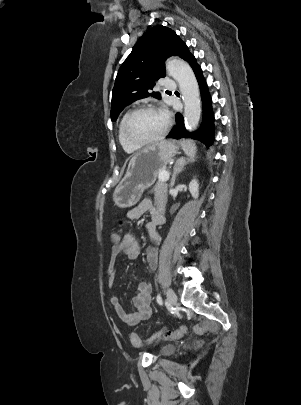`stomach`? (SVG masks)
Returning <instances> with one entry per match:
<instances>
[{
    "label": "stomach",
    "instance_id": "stomach-1",
    "mask_svg": "<svg viewBox=\"0 0 301 405\" xmlns=\"http://www.w3.org/2000/svg\"><path fill=\"white\" fill-rule=\"evenodd\" d=\"M178 149L173 141L163 140L134 155L113 192L114 204L120 208L135 205L143 191L155 183L159 170L166 167Z\"/></svg>",
    "mask_w": 301,
    "mask_h": 405
}]
</instances>
